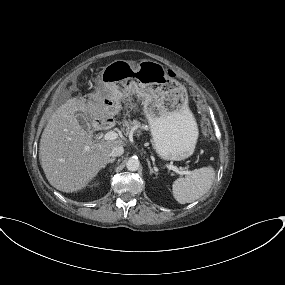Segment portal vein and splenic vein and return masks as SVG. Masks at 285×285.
Listing matches in <instances>:
<instances>
[{
  "mask_svg": "<svg viewBox=\"0 0 285 285\" xmlns=\"http://www.w3.org/2000/svg\"><path fill=\"white\" fill-rule=\"evenodd\" d=\"M118 138V134L114 131H108L107 133H105L103 139L104 140H116ZM166 167L168 169L173 170L174 172L178 173V174H184V175H188L191 174L190 171H180L179 168H177L176 166L167 164Z\"/></svg>",
  "mask_w": 285,
  "mask_h": 285,
  "instance_id": "18ae733b",
  "label": "portal vein and splenic vein"
}]
</instances>
